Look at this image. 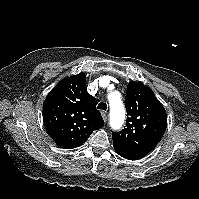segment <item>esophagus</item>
Returning <instances> with one entry per match:
<instances>
[{"label": "esophagus", "mask_w": 199, "mask_h": 199, "mask_svg": "<svg viewBox=\"0 0 199 199\" xmlns=\"http://www.w3.org/2000/svg\"><path fill=\"white\" fill-rule=\"evenodd\" d=\"M102 117H103V120L106 122L107 121V114L105 112H102Z\"/></svg>", "instance_id": "esophagus-1"}]
</instances>
